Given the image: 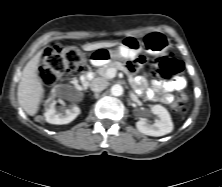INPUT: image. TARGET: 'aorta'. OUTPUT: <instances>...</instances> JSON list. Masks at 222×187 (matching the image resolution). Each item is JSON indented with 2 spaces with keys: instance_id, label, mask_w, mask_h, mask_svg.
<instances>
[{
  "instance_id": "762f6f07",
  "label": "aorta",
  "mask_w": 222,
  "mask_h": 187,
  "mask_svg": "<svg viewBox=\"0 0 222 187\" xmlns=\"http://www.w3.org/2000/svg\"><path fill=\"white\" fill-rule=\"evenodd\" d=\"M110 91L113 96H121L123 94V87L119 84H115L111 87Z\"/></svg>"
}]
</instances>
